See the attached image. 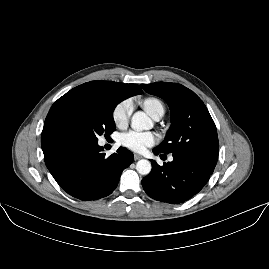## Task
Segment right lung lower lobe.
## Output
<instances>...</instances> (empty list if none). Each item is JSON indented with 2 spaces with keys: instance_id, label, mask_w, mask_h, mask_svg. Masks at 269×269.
I'll return each mask as SVG.
<instances>
[{
  "instance_id": "right-lung-lower-lobe-1",
  "label": "right lung lower lobe",
  "mask_w": 269,
  "mask_h": 269,
  "mask_svg": "<svg viewBox=\"0 0 269 269\" xmlns=\"http://www.w3.org/2000/svg\"><path fill=\"white\" fill-rule=\"evenodd\" d=\"M41 146L46 166L56 182L83 201L111 194L122 171L133 162L132 152L124 147L106 157L98 141L81 140L60 126H44Z\"/></svg>"
}]
</instances>
